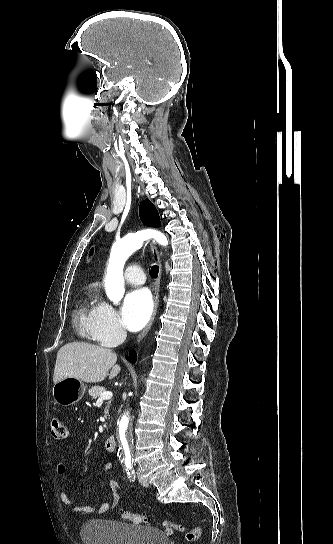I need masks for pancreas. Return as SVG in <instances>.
<instances>
[{
	"label": "pancreas",
	"mask_w": 333,
	"mask_h": 544,
	"mask_svg": "<svg viewBox=\"0 0 333 544\" xmlns=\"http://www.w3.org/2000/svg\"><path fill=\"white\" fill-rule=\"evenodd\" d=\"M105 391H106V389H105L103 386H93V387L89 390V395L92 397V399H97V398H99Z\"/></svg>",
	"instance_id": "pancreas-1"
}]
</instances>
